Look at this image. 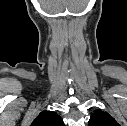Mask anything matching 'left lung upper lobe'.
<instances>
[{"mask_svg": "<svg viewBox=\"0 0 127 126\" xmlns=\"http://www.w3.org/2000/svg\"><path fill=\"white\" fill-rule=\"evenodd\" d=\"M88 126H120L107 112L96 110L92 113Z\"/></svg>", "mask_w": 127, "mask_h": 126, "instance_id": "left-lung-upper-lobe-1", "label": "left lung upper lobe"}]
</instances>
